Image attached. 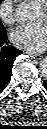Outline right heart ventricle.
<instances>
[{
    "mask_svg": "<svg viewBox=\"0 0 47 129\" xmlns=\"http://www.w3.org/2000/svg\"><path fill=\"white\" fill-rule=\"evenodd\" d=\"M39 1L42 3V2H45L46 0H39Z\"/></svg>",
    "mask_w": 47,
    "mask_h": 129,
    "instance_id": "obj_1",
    "label": "right heart ventricle"
}]
</instances>
